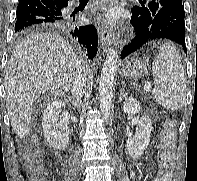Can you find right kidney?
I'll return each mask as SVG.
<instances>
[{
  "label": "right kidney",
  "instance_id": "ca27d5eb",
  "mask_svg": "<svg viewBox=\"0 0 197 181\" xmlns=\"http://www.w3.org/2000/svg\"><path fill=\"white\" fill-rule=\"evenodd\" d=\"M66 104V99L55 100L49 103L43 112L44 138L52 148L57 150H63L69 142V128L60 115L62 107Z\"/></svg>",
  "mask_w": 197,
  "mask_h": 181
}]
</instances>
